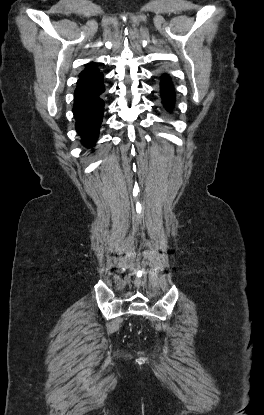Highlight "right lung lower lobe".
Listing matches in <instances>:
<instances>
[{"mask_svg": "<svg viewBox=\"0 0 264 415\" xmlns=\"http://www.w3.org/2000/svg\"><path fill=\"white\" fill-rule=\"evenodd\" d=\"M105 91L103 74L96 72L80 76L74 92L73 114L76 119V130L82 136L84 146L95 144L103 119L104 101L101 99Z\"/></svg>", "mask_w": 264, "mask_h": 415, "instance_id": "98d812e1", "label": "right lung lower lobe"}]
</instances>
